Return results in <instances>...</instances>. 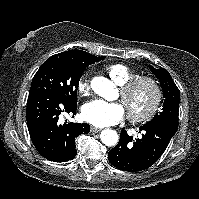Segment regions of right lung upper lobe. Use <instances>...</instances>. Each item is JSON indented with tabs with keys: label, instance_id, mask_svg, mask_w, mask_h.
<instances>
[{
	"label": "right lung upper lobe",
	"instance_id": "cb5924a9",
	"mask_svg": "<svg viewBox=\"0 0 199 199\" xmlns=\"http://www.w3.org/2000/svg\"><path fill=\"white\" fill-rule=\"evenodd\" d=\"M54 56L66 61H70L72 63L83 64V65H88V66L97 61H100L99 59L101 58V57H96L94 55H91L82 50L65 51V52L56 54Z\"/></svg>",
	"mask_w": 199,
	"mask_h": 199
}]
</instances>
